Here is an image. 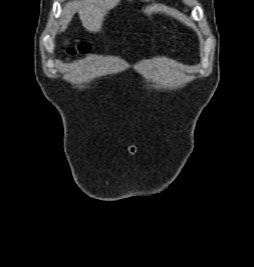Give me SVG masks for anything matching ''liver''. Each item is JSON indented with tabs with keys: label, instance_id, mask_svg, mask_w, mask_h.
Segmentation results:
<instances>
[{
	"label": "liver",
	"instance_id": "6515ba94",
	"mask_svg": "<svg viewBox=\"0 0 254 267\" xmlns=\"http://www.w3.org/2000/svg\"><path fill=\"white\" fill-rule=\"evenodd\" d=\"M118 0H73L66 3L60 19V32L67 29L73 15L78 12L84 28L89 32H98L107 12L112 9Z\"/></svg>",
	"mask_w": 254,
	"mask_h": 267
}]
</instances>
